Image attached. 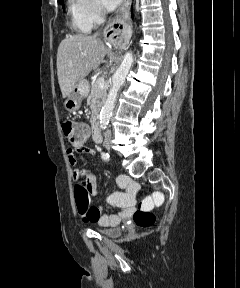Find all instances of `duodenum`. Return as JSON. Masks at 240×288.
<instances>
[{"label": "duodenum", "instance_id": "duodenum-1", "mask_svg": "<svg viewBox=\"0 0 240 288\" xmlns=\"http://www.w3.org/2000/svg\"><path fill=\"white\" fill-rule=\"evenodd\" d=\"M91 125H92V133L94 139L99 142L101 140V132L99 129V117L98 114H94L91 119Z\"/></svg>", "mask_w": 240, "mask_h": 288}]
</instances>
